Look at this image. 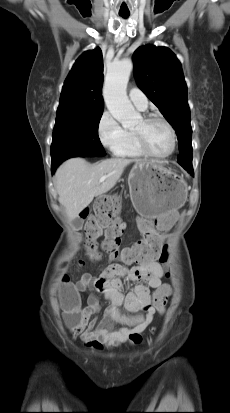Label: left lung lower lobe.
Instances as JSON below:
<instances>
[{
	"label": "left lung lower lobe",
	"instance_id": "1",
	"mask_svg": "<svg viewBox=\"0 0 230 413\" xmlns=\"http://www.w3.org/2000/svg\"><path fill=\"white\" fill-rule=\"evenodd\" d=\"M183 168H184L185 170H187L192 176L194 175L192 166H186V165H184Z\"/></svg>",
	"mask_w": 230,
	"mask_h": 413
}]
</instances>
